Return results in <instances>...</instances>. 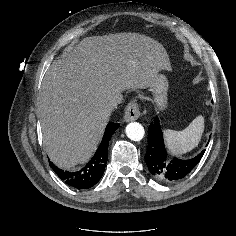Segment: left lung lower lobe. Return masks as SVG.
Here are the masks:
<instances>
[{
	"instance_id": "left-lung-lower-lobe-1",
	"label": "left lung lower lobe",
	"mask_w": 236,
	"mask_h": 236,
	"mask_svg": "<svg viewBox=\"0 0 236 236\" xmlns=\"http://www.w3.org/2000/svg\"><path fill=\"white\" fill-rule=\"evenodd\" d=\"M205 150L188 160L178 159L167 154L163 133L158 117L150 124L148 132V149L145 154L146 164L157 179L170 183L185 177L198 164Z\"/></svg>"
}]
</instances>
